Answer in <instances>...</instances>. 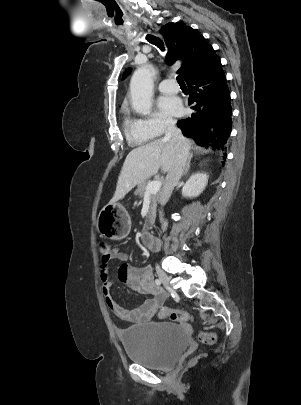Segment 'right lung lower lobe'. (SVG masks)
Instances as JSON below:
<instances>
[{"label":"right lung lower lobe","mask_w":301,"mask_h":405,"mask_svg":"<svg viewBox=\"0 0 301 405\" xmlns=\"http://www.w3.org/2000/svg\"><path fill=\"white\" fill-rule=\"evenodd\" d=\"M185 81L190 94L189 105L194 104L191 108L195 113L178 121L177 126L201 146L226 149L232 128V108L220 59Z\"/></svg>","instance_id":"obj_1"}]
</instances>
